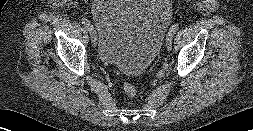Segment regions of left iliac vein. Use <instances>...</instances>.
<instances>
[{
	"instance_id": "4c4485c4",
	"label": "left iliac vein",
	"mask_w": 253,
	"mask_h": 131,
	"mask_svg": "<svg viewBox=\"0 0 253 131\" xmlns=\"http://www.w3.org/2000/svg\"><path fill=\"white\" fill-rule=\"evenodd\" d=\"M173 37H174V33L171 32V31H169L167 33V36H166V47H167V50H171V48H172Z\"/></svg>"
}]
</instances>
